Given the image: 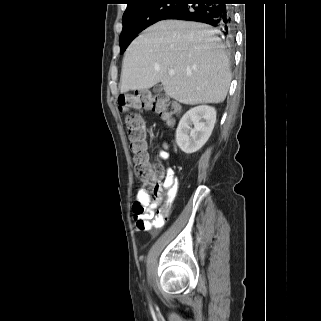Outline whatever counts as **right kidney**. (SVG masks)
<instances>
[{"label":"right kidney","instance_id":"obj_1","mask_svg":"<svg viewBox=\"0 0 321 321\" xmlns=\"http://www.w3.org/2000/svg\"><path fill=\"white\" fill-rule=\"evenodd\" d=\"M216 122V110L208 105L191 108L176 129V143L186 154L198 151L209 139ZM194 125V128L191 126Z\"/></svg>","mask_w":321,"mask_h":321}]
</instances>
